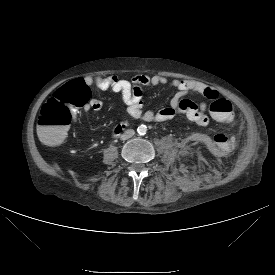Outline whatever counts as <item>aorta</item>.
<instances>
[{"instance_id":"1","label":"aorta","mask_w":275,"mask_h":275,"mask_svg":"<svg viewBox=\"0 0 275 275\" xmlns=\"http://www.w3.org/2000/svg\"><path fill=\"white\" fill-rule=\"evenodd\" d=\"M146 131H147V127H146L145 125H140V126L137 128V132H138L140 135L146 134Z\"/></svg>"}]
</instances>
